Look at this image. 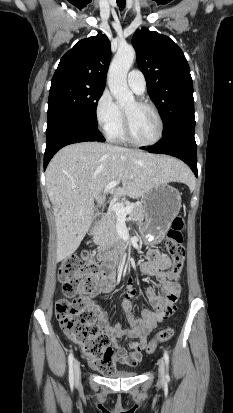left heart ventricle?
Segmentation results:
<instances>
[{"mask_svg": "<svg viewBox=\"0 0 233 413\" xmlns=\"http://www.w3.org/2000/svg\"><path fill=\"white\" fill-rule=\"evenodd\" d=\"M124 111L128 114L134 138L140 142H150L158 134V120L153 111L139 106L135 101L128 104Z\"/></svg>", "mask_w": 233, "mask_h": 413, "instance_id": "b2bd125f", "label": "left heart ventricle"}]
</instances>
